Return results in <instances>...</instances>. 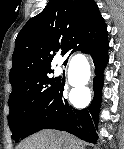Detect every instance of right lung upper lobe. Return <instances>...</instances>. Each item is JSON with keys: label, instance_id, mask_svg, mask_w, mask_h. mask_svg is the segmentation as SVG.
Instances as JSON below:
<instances>
[{"label": "right lung upper lobe", "instance_id": "right-lung-upper-lobe-1", "mask_svg": "<svg viewBox=\"0 0 124 149\" xmlns=\"http://www.w3.org/2000/svg\"><path fill=\"white\" fill-rule=\"evenodd\" d=\"M107 39V29L93 0H50L29 19L15 40L9 80L12 89L51 70L53 58L83 53Z\"/></svg>", "mask_w": 124, "mask_h": 149}]
</instances>
